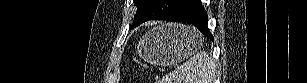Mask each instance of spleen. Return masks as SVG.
<instances>
[{
    "label": "spleen",
    "instance_id": "obj_1",
    "mask_svg": "<svg viewBox=\"0 0 307 83\" xmlns=\"http://www.w3.org/2000/svg\"><path fill=\"white\" fill-rule=\"evenodd\" d=\"M216 65L206 51H201L166 74L158 83H214Z\"/></svg>",
    "mask_w": 307,
    "mask_h": 83
}]
</instances>
